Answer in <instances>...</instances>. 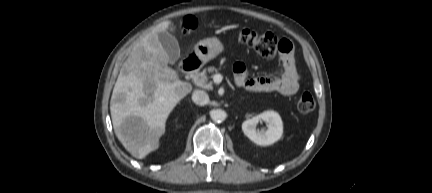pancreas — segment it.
Returning <instances> with one entry per match:
<instances>
[{"label": "pancreas", "mask_w": 432, "mask_h": 193, "mask_svg": "<svg viewBox=\"0 0 432 193\" xmlns=\"http://www.w3.org/2000/svg\"><path fill=\"white\" fill-rule=\"evenodd\" d=\"M217 73L218 69L214 66H210L208 68L203 69L201 72H197L193 75L194 83L203 89L212 90L213 83L208 80L207 73Z\"/></svg>", "instance_id": "pancreas-1"}]
</instances>
